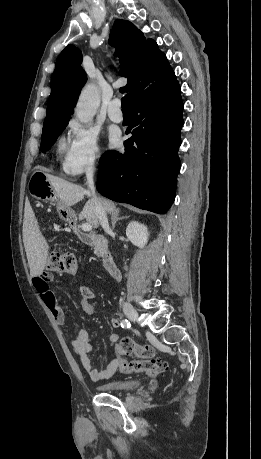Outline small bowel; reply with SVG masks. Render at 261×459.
I'll list each match as a JSON object with an SVG mask.
<instances>
[{
  "instance_id": "1",
  "label": "small bowel",
  "mask_w": 261,
  "mask_h": 459,
  "mask_svg": "<svg viewBox=\"0 0 261 459\" xmlns=\"http://www.w3.org/2000/svg\"><path fill=\"white\" fill-rule=\"evenodd\" d=\"M54 281V276L49 272H43L33 278V285L35 290L38 292L44 304L50 310L55 320L63 325L66 321V315L59 305L55 294L50 289V283ZM79 292L82 296V305L84 310L88 314L93 313V307L89 301L93 298V292L86 286L80 285L78 287ZM111 325L113 328L118 329L121 325L118 319L112 318ZM109 340L115 343L119 340L117 333H112L109 336ZM71 346L73 350L78 354L81 365L88 373L92 381L98 382L104 379H108L114 375L119 368V361L121 357L117 355L114 357L103 369L94 368L90 353L93 349L90 334L84 330H78L75 335L71 338Z\"/></svg>"
}]
</instances>
